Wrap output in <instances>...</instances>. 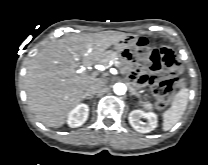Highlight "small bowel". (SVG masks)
<instances>
[{
    "mask_svg": "<svg viewBox=\"0 0 208 165\" xmlns=\"http://www.w3.org/2000/svg\"><path fill=\"white\" fill-rule=\"evenodd\" d=\"M120 56L125 61L121 65V70L124 73H128V78L131 81H138L143 87L149 85L150 80L145 70L142 68L141 59L136 51L128 48H123L120 51Z\"/></svg>",
    "mask_w": 208,
    "mask_h": 165,
    "instance_id": "small-bowel-1",
    "label": "small bowel"
}]
</instances>
